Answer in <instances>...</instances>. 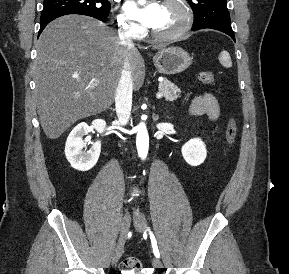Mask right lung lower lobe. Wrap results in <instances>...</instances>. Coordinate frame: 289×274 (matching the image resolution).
I'll return each mask as SVG.
<instances>
[{
  "label": "right lung lower lobe",
  "mask_w": 289,
  "mask_h": 274,
  "mask_svg": "<svg viewBox=\"0 0 289 274\" xmlns=\"http://www.w3.org/2000/svg\"><path fill=\"white\" fill-rule=\"evenodd\" d=\"M68 14H80V15H87V16H91V17H94L96 19H99L101 21H104L106 18H102V17H98V16H95V15H90V14H86V13H81V12H62V13H55V14H50V15H47V16H43L41 17V20H40V30H39V34H41V32L43 31V29L45 28V26L51 22L52 20L60 17V16H64V15H68Z\"/></svg>",
  "instance_id": "1"
}]
</instances>
